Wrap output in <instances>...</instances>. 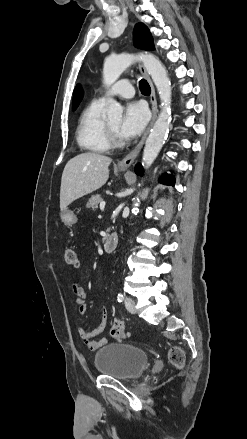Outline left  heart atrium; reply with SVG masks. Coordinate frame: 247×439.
Wrapping results in <instances>:
<instances>
[{
  "label": "left heart atrium",
  "instance_id": "39dd6f15",
  "mask_svg": "<svg viewBox=\"0 0 247 439\" xmlns=\"http://www.w3.org/2000/svg\"><path fill=\"white\" fill-rule=\"evenodd\" d=\"M148 119V110L142 103H129L125 107L124 115L118 127L119 135L126 140L137 137L144 130Z\"/></svg>",
  "mask_w": 247,
  "mask_h": 439
}]
</instances>
